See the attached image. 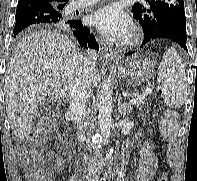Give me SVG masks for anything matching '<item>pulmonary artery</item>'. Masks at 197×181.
Returning a JSON list of instances; mask_svg holds the SVG:
<instances>
[{
	"instance_id": "e3ab8cb5",
	"label": "pulmonary artery",
	"mask_w": 197,
	"mask_h": 181,
	"mask_svg": "<svg viewBox=\"0 0 197 181\" xmlns=\"http://www.w3.org/2000/svg\"><path fill=\"white\" fill-rule=\"evenodd\" d=\"M98 0H79L75 5H73L72 9L83 8L88 5L96 3Z\"/></svg>"
}]
</instances>
